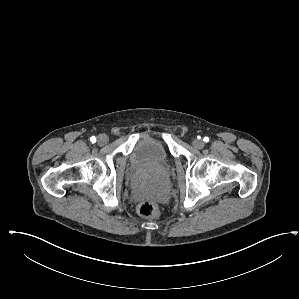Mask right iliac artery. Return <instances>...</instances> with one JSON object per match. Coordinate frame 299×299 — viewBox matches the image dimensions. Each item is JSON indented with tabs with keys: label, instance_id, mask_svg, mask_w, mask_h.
<instances>
[{
	"label": "right iliac artery",
	"instance_id": "obj_1",
	"mask_svg": "<svg viewBox=\"0 0 299 299\" xmlns=\"http://www.w3.org/2000/svg\"><path fill=\"white\" fill-rule=\"evenodd\" d=\"M90 141H91L92 143H95V142H96V137L92 136V137L90 138Z\"/></svg>",
	"mask_w": 299,
	"mask_h": 299
}]
</instances>
